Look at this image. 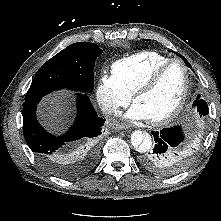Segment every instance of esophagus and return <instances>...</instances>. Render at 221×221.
Here are the masks:
<instances>
[{"label":"esophagus","mask_w":221,"mask_h":221,"mask_svg":"<svg viewBox=\"0 0 221 221\" xmlns=\"http://www.w3.org/2000/svg\"><path fill=\"white\" fill-rule=\"evenodd\" d=\"M111 126H112V128L115 129V130H122V129L126 128L125 125H123V124H118V123H113Z\"/></svg>","instance_id":"34e87169"}]
</instances>
